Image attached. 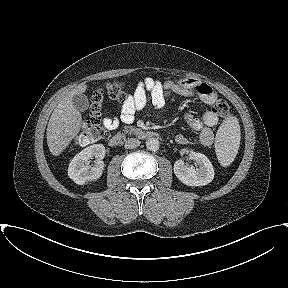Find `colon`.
I'll use <instances>...</instances> for the list:
<instances>
[{
  "label": "colon",
  "instance_id": "colon-1",
  "mask_svg": "<svg viewBox=\"0 0 288 288\" xmlns=\"http://www.w3.org/2000/svg\"><path fill=\"white\" fill-rule=\"evenodd\" d=\"M110 99L120 103L125 102L129 95L120 82L108 83L105 89L95 91L91 96V120L83 123L78 142L80 144H91L105 139L108 136V128L105 125L104 94ZM214 110L220 116H227L230 113L228 104L223 100H218L214 104Z\"/></svg>",
  "mask_w": 288,
  "mask_h": 288
}]
</instances>
